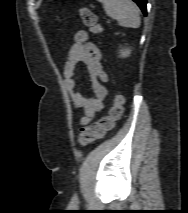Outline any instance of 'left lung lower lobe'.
<instances>
[{
  "mask_svg": "<svg viewBox=\"0 0 188 213\" xmlns=\"http://www.w3.org/2000/svg\"><path fill=\"white\" fill-rule=\"evenodd\" d=\"M133 1L138 4V6L143 11L144 15H146V3H147V1L146 0H133Z\"/></svg>",
  "mask_w": 188,
  "mask_h": 213,
  "instance_id": "left-lung-lower-lobe-1",
  "label": "left lung lower lobe"
}]
</instances>
